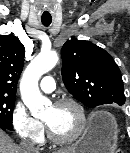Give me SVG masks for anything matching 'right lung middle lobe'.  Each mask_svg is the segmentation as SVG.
Returning <instances> with one entry per match:
<instances>
[{
    "label": "right lung middle lobe",
    "mask_w": 130,
    "mask_h": 153,
    "mask_svg": "<svg viewBox=\"0 0 130 153\" xmlns=\"http://www.w3.org/2000/svg\"><path fill=\"white\" fill-rule=\"evenodd\" d=\"M15 97L0 95V125L12 130V117Z\"/></svg>",
    "instance_id": "dd1d6c3e"
}]
</instances>
